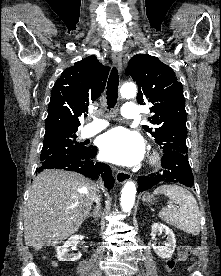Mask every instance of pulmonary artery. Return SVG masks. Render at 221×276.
Instances as JSON below:
<instances>
[{
	"mask_svg": "<svg viewBox=\"0 0 221 276\" xmlns=\"http://www.w3.org/2000/svg\"><path fill=\"white\" fill-rule=\"evenodd\" d=\"M122 115L127 119H134L138 116V108L133 103H126L122 108ZM108 123L104 120L94 118V121L87 126L84 127L82 130L83 137H90L93 136L104 128H106Z\"/></svg>",
	"mask_w": 221,
	"mask_h": 276,
	"instance_id": "pulmonary-artery-1",
	"label": "pulmonary artery"
}]
</instances>
